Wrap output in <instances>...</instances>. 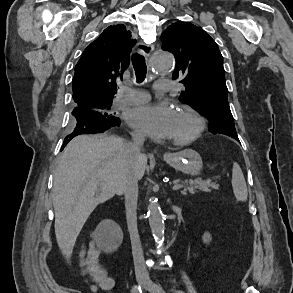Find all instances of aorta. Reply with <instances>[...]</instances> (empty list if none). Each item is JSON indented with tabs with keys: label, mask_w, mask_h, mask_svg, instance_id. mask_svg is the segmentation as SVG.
Here are the masks:
<instances>
[{
	"label": "aorta",
	"mask_w": 293,
	"mask_h": 293,
	"mask_svg": "<svg viewBox=\"0 0 293 293\" xmlns=\"http://www.w3.org/2000/svg\"><path fill=\"white\" fill-rule=\"evenodd\" d=\"M174 67V58L172 54L163 50H157L152 55L150 69L155 74L168 73ZM149 225L154 237L155 243L160 247L164 240V214L158 202L151 201L147 207Z\"/></svg>",
	"instance_id": "obj_1"
}]
</instances>
